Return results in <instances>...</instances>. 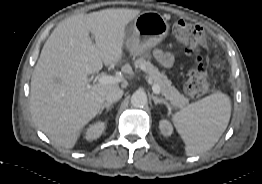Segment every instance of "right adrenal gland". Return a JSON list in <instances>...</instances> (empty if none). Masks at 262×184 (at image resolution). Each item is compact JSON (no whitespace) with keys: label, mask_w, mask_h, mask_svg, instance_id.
I'll return each instance as SVG.
<instances>
[{"label":"right adrenal gland","mask_w":262,"mask_h":184,"mask_svg":"<svg viewBox=\"0 0 262 184\" xmlns=\"http://www.w3.org/2000/svg\"><path fill=\"white\" fill-rule=\"evenodd\" d=\"M112 106V103H105L102 108L99 111V115L102 114V112L104 111V109H106L107 112H109L110 107Z\"/></svg>","instance_id":"1"}]
</instances>
